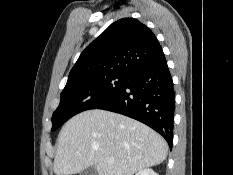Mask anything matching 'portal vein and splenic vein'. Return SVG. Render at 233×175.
Wrapping results in <instances>:
<instances>
[{
	"instance_id": "18ae733b",
	"label": "portal vein and splenic vein",
	"mask_w": 233,
	"mask_h": 175,
	"mask_svg": "<svg viewBox=\"0 0 233 175\" xmlns=\"http://www.w3.org/2000/svg\"><path fill=\"white\" fill-rule=\"evenodd\" d=\"M114 162V159L113 158H109L108 159V163H113Z\"/></svg>"
}]
</instances>
